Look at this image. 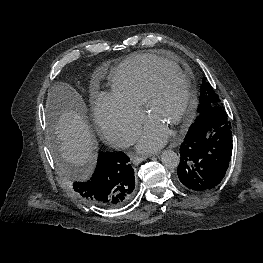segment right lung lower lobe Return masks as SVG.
Returning <instances> with one entry per match:
<instances>
[{"mask_svg":"<svg viewBox=\"0 0 263 263\" xmlns=\"http://www.w3.org/2000/svg\"><path fill=\"white\" fill-rule=\"evenodd\" d=\"M123 152L99 153L96 169L88 181H72L74 191L86 202L103 208L126 204L135 187L134 170Z\"/></svg>","mask_w":263,"mask_h":263,"instance_id":"98d812e1","label":"right lung lower lobe"}]
</instances>
